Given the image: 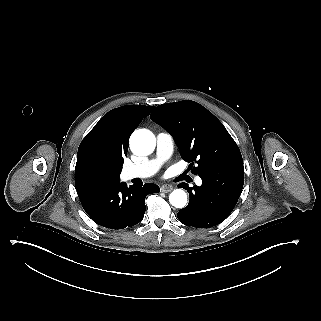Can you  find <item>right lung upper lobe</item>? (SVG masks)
Returning <instances> with one entry per match:
<instances>
[{
  "label": "right lung upper lobe",
  "instance_id": "right-lung-upper-lobe-1",
  "mask_svg": "<svg viewBox=\"0 0 321 321\" xmlns=\"http://www.w3.org/2000/svg\"><path fill=\"white\" fill-rule=\"evenodd\" d=\"M154 106L127 105L105 114L81 142L75 167V188L119 181L131 133Z\"/></svg>",
  "mask_w": 321,
  "mask_h": 321
}]
</instances>
